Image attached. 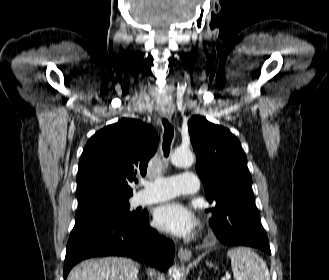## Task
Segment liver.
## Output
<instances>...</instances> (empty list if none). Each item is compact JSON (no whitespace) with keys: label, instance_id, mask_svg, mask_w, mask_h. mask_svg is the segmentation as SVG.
Segmentation results:
<instances>
[{"label":"liver","instance_id":"6515ba94","mask_svg":"<svg viewBox=\"0 0 329 280\" xmlns=\"http://www.w3.org/2000/svg\"><path fill=\"white\" fill-rule=\"evenodd\" d=\"M140 265L128 258L105 257L81 262L67 280H136Z\"/></svg>","mask_w":329,"mask_h":280}]
</instances>
